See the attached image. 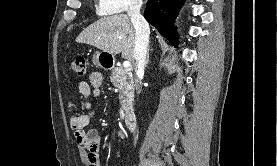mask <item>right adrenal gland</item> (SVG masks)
Listing matches in <instances>:
<instances>
[{
  "label": "right adrenal gland",
  "mask_w": 277,
  "mask_h": 166,
  "mask_svg": "<svg viewBox=\"0 0 277 166\" xmlns=\"http://www.w3.org/2000/svg\"><path fill=\"white\" fill-rule=\"evenodd\" d=\"M149 63V52L147 53V59H146V64Z\"/></svg>",
  "instance_id": "obj_1"
}]
</instances>
